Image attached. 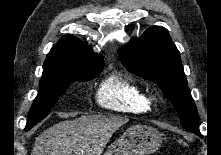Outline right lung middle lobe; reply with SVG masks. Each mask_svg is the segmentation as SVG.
Returning a JSON list of instances; mask_svg holds the SVG:
<instances>
[{
  "instance_id": "dd1d6c3e",
  "label": "right lung middle lobe",
  "mask_w": 221,
  "mask_h": 155,
  "mask_svg": "<svg viewBox=\"0 0 221 155\" xmlns=\"http://www.w3.org/2000/svg\"><path fill=\"white\" fill-rule=\"evenodd\" d=\"M103 67L104 65L98 67L76 68L62 72L43 71L42 79L39 83L40 91L29 111L25 131L30 130L49 114L50 110L66 91L71 82L93 79L102 72Z\"/></svg>"
}]
</instances>
